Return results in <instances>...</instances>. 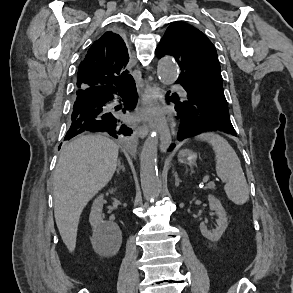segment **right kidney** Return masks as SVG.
Masks as SVG:
<instances>
[{
  "label": "right kidney",
  "instance_id": "right-kidney-1",
  "mask_svg": "<svg viewBox=\"0 0 293 293\" xmlns=\"http://www.w3.org/2000/svg\"><path fill=\"white\" fill-rule=\"evenodd\" d=\"M113 191L114 189L110 192ZM103 198L104 196L101 194L94 200L89 222L94 236L100 241V247H113L118 250L122 242L121 231L115 223L102 220Z\"/></svg>",
  "mask_w": 293,
  "mask_h": 293
}]
</instances>
